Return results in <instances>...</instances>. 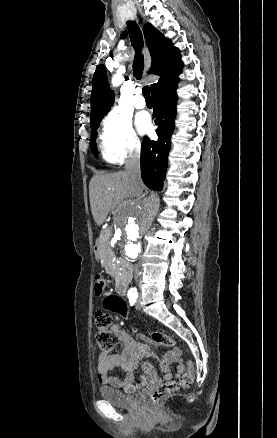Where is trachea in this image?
<instances>
[{
	"mask_svg": "<svg viewBox=\"0 0 277 438\" xmlns=\"http://www.w3.org/2000/svg\"><path fill=\"white\" fill-rule=\"evenodd\" d=\"M127 29L130 37L131 44L135 50V56L133 60V74L136 79L140 80L142 78L143 69H144V57L142 54L143 49V36L140 28L136 24L135 21L127 22ZM143 95L146 100H151L150 96V88L148 86L143 87Z\"/></svg>",
	"mask_w": 277,
	"mask_h": 438,
	"instance_id": "3493384b",
	"label": "trachea"
}]
</instances>
